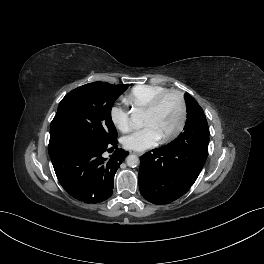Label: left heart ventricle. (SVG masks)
<instances>
[{
  "label": "left heart ventricle",
  "mask_w": 264,
  "mask_h": 264,
  "mask_svg": "<svg viewBox=\"0 0 264 264\" xmlns=\"http://www.w3.org/2000/svg\"><path fill=\"white\" fill-rule=\"evenodd\" d=\"M180 119V107L174 95L168 96L154 112L144 113V125H153L162 136L175 129Z\"/></svg>",
  "instance_id": "obj_1"
}]
</instances>
